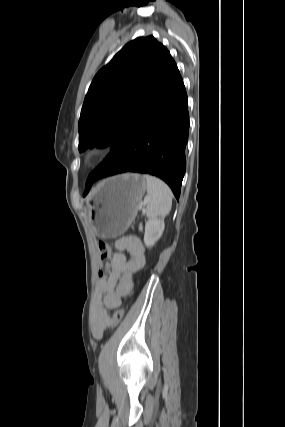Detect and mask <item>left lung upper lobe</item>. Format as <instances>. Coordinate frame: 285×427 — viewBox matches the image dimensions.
I'll list each match as a JSON object with an SVG mask.
<instances>
[{"instance_id":"left-lung-upper-lobe-1","label":"left lung upper lobe","mask_w":285,"mask_h":427,"mask_svg":"<svg viewBox=\"0 0 285 427\" xmlns=\"http://www.w3.org/2000/svg\"><path fill=\"white\" fill-rule=\"evenodd\" d=\"M172 57L153 36L126 44L94 77L79 119V150L117 147L161 81Z\"/></svg>"}]
</instances>
